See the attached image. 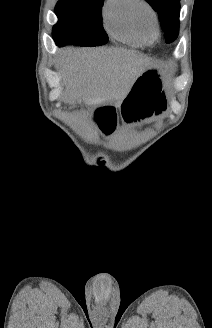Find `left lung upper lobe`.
I'll use <instances>...</instances> for the list:
<instances>
[{"instance_id":"5c2ea615","label":"left lung upper lobe","mask_w":212,"mask_h":328,"mask_svg":"<svg viewBox=\"0 0 212 328\" xmlns=\"http://www.w3.org/2000/svg\"><path fill=\"white\" fill-rule=\"evenodd\" d=\"M158 13L166 43L176 40L179 33L180 0H146Z\"/></svg>"}]
</instances>
